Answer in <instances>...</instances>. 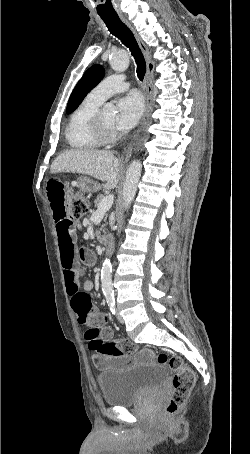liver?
I'll list each match as a JSON object with an SVG mask.
<instances>
[{
  "mask_svg": "<svg viewBox=\"0 0 250 454\" xmlns=\"http://www.w3.org/2000/svg\"><path fill=\"white\" fill-rule=\"evenodd\" d=\"M122 163L110 151L69 150L61 153L52 163L51 173H79L106 182L105 189L117 187Z\"/></svg>",
  "mask_w": 250,
  "mask_h": 454,
  "instance_id": "1",
  "label": "liver"
}]
</instances>
